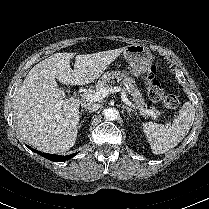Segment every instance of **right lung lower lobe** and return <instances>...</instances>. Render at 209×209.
Wrapping results in <instances>:
<instances>
[{
	"label": "right lung lower lobe",
	"instance_id": "right-lung-lower-lobe-1",
	"mask_svg": "<svg viewBox=\"0 0 209 209\" xmlns=\"http://www.w3.org/2000/svg\"><path fill=\"white\" fill-rule=\"evenodd\" d=\"M30 149L32 151H34L35 153L40 154L44 158L49 159V160L54 161V162H63V161H66V160H68V159H70V158H72V157H74L76 155V153H74V154H71V155L61 156V155L42 153V152L37 151V150H35L33 148H30Z\"/></svg>",
	"mask_w": 209,
	"mask_h": 209
}]
</instances>
